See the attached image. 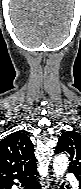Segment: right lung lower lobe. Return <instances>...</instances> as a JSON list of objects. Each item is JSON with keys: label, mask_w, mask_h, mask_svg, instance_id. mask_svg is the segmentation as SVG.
I'll list each match as a JSON object with an SVG mask.
<instances>
[{"label": "right lung lower lobe", "mask_w": 81, "mask_h": 189, "mask_svg": "<svg viewBox=\"0 0 81 189\" xmlns=\"http://www.w3.org/2000/svg\"><path fill=\"white\" fill-rule=\"evenodd\" d=\"M37 166L33 167L31 170L25 172L24 174L16 177L19 181L25 184V189H40L39 179H38V172ZM14 180V179H13ZM10 181L8 183L0 184V189H11L12 185L15 184L14 182Z\"/></svg>", "instance_id": "right-lung-lower-lobe-1"}]
</instances>
